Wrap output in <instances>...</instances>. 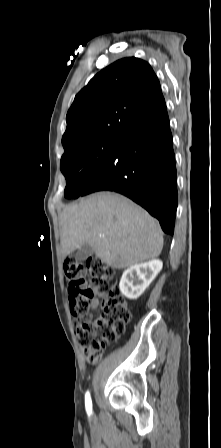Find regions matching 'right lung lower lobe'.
I'll return each mask as SVG.
<instances>
[{
  "instance_id": "1",
  "label": "right lung lower lobe",
  "mask_w": 221,
  "mask_h": 448,
  "mask_svg": "<svg viewBox=\"0 0 221 448\" xmlns=\"http://www.w3.org/2000/svg\"><path fill=\"white\" fill-rule=\"evenodd\" d=\"M102 190L129 197L156 217L165 233L173 235L176 166L165 103L120 134L81 196Z\"/></svg>"
}]
</instances>
